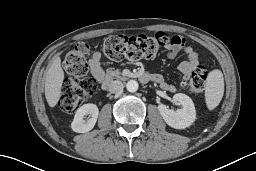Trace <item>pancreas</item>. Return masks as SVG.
Masks as SVG:
<instances>
[{
  "instance_id": "cf45deb5",
  "label": "pancreas",
  "mask_w": 256,
  "mask_h": 171,
  "mask_svg": "<svg viewBox=\"0 0 256 171\" xmlns=\"http://www.w3.org/2000/svg\"><path fill=\"white\" fill-rule=\"evenodd\" d=\"M120 78V72L118 70H114V68H109L107 70V78Z\"/></svg>"
}]
</instances>
